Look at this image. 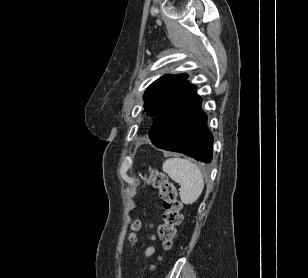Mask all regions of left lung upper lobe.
Returning <instances> with one entry per match:
<instances>
[{
	"label": "left lung upper lobe",
	"mask_w": 308,
	"mask_h": 278,
	"mask_svg": "<svg viewBox=\"0 0 308 278\" xmlns=\"http://www.w3.org/2000/svg\"><path fill=\"white\" fill-rule=\"evenodd\" d=\"M188 75H164L154 81L143 95L144 110L148 116H156L170 99L180 90Z\"/></svg>",
	"instance_id": "obj_1"
}]
</instances>
